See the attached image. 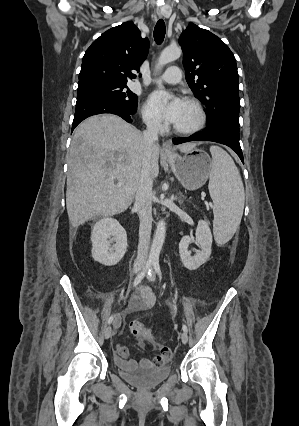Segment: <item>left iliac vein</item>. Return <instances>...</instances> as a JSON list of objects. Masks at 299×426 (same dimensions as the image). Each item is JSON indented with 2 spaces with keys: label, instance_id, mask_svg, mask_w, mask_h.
Here are the masks:
<instances>
[{
  "label": "left iliac vein",
  "instance_id": "1",
  "mask_svg": "<svg viewBox=\"0 0 299 426\" xmlns=\"http://www.w3.org/2000/svg\"><path fill=\"white\" fill-rule=\"evenodd\" d=\"M151 281L155 279L153 272H151V277L149 278ZM181 341L183 344H186L188 342V335L186 332H183L181 334Z\"/></svg>",
  "mask_w": 299,
  "mask_h": 426
}]
</instances>
